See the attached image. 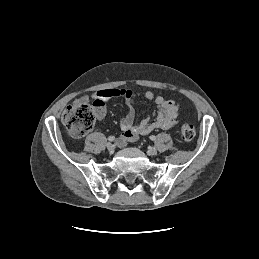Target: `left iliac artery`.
Listing matches in <instances>:
<instances>
[{
	"label": "left iliac artery",
	"mask_w": 259,
	"mask_h": 259,
	"mask_svg": "<svg viewBox=\"0 0 259 259\" xmlns=\"http://www.w3.org/2000/svg\"><path fill=\"white\" fill-rule=\"evenodd\" d=\"M150 139H151L152 141H154V140L156 139V137H155L154 135H151V136H150Z\"/></svg>",
	"instance_id": "obj_1"
}]
</instances>
